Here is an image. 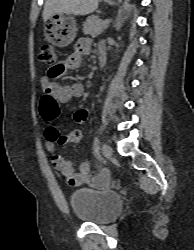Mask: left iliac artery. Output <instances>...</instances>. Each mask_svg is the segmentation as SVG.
Listing matches in <instances>:
<instances>
[{
  "label": "left iliac artery",
  "instance_id": "left-iliac-artery-1",
  "mask_svg": "<svg viewBox=\"0 0 194 250\" xmlns=\"http://www.w3.org/2000/svg\"><path fill=\"white\" fill-rule=\"evenodd\" d=\"M99 146H100V139L98 136H96L93 143V151L95 154L99 153Z\"/></svg>",
  "mask_w": 194,
  "mask_h": 250
}]
</instances>
